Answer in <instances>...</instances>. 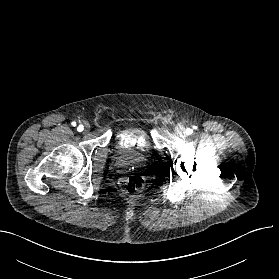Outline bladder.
Here are the masks:
<instances>
[{"label":"bladder","instance_id":"bladder-1","mask_svg":"<svg viewBox=\"0 0 279 279\" xmlns=\"http://www.w3.org/2000/svg\"><path fill=\"white\" fill-rule=\"evenodd\" d=\"M119 148L123 163L136 164L152 151V144L146 132L131 130L119 135Z\"/></svg>","mask_w":279,"mask_h":279}]
</instances>
